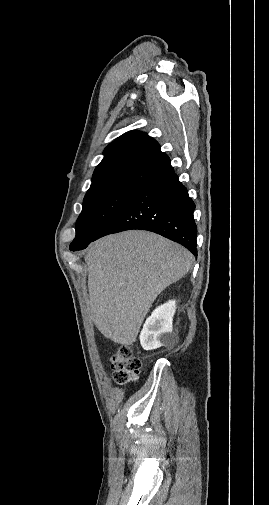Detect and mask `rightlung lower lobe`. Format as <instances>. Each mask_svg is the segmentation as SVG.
<instances>
[{
	"instance_id": "obj_1",
	"label": "right lung lower lobe",
	"mask_w": 269,
	"mask_h": 505,
	"mask_svg": "<svg viewBox=\"0 0 269 505\" xmlns=\"http://www.w3.org/2000/svg\"><path fill=\"white\" fill-rule=\"evenodd\" d=\"M194 210L187 189L170 166L137 189L94 240L125 230H148L180 243L196 256Z\"/></svg>"
}]
</instances>
